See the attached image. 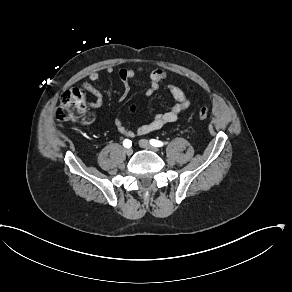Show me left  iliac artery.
<instances>
[{"label":"left iliac artery","mask_w":292,"mask_h":292,"mask_svg":"<svg viewBox=\"0 0 292 292\" xmlns=\"http://www.w3.org/2000/svg\"><path fill=\"white\" fill-rule=\"evenodd\" d=\"M150 144L154 147H162L164 145L163 142L156 139H151Z\"/></svg>","instance_id":"left-iliac-artery-1"}]
</instances>
